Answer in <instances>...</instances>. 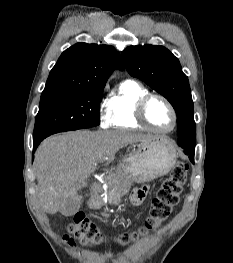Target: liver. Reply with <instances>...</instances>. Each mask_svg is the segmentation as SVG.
Returning <instances> with one entry per match:
<instances>
[{
  "label": "liver",
  "instance_id": "liver-1",
  "mask_svg": "<svg viewBox=\"0 0 233 263\" xmlns=\"http://www.w3.org/2000/svg\"><path fill=\"white\" fill-rule=\"evenodd\" d=\"M150 137L128 130H80L46 138L35 154L39 205L57 213L87 186L96 163L112 161L120 148Z\"/></svg>",
  "mask_w": 233,
  "mask_h": 263
}]
</instances>
